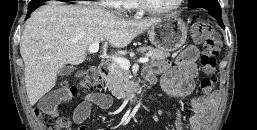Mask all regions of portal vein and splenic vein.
Returning a JSON list of instances; mask_svg holds the SVG:
<instances>
[{
  "label": "portal vein and splenic vein",
  "mask_w": 257,
  "mask_h": 130,
  "mask_svg": "<svg viewBox=\"0 0 257 130\" xmlns=\"http://www.w3.org/2000/svg\"><path fill=\"white\" fill-rule=\"evenodd\" d=\"M98 50H99V43H94L89 47L88 52L90 54H94V53L98 52ZM113 61L115 63L119 64L125 70H128L130 68V61L123 57H115V58H113ZM148 61H149L148 56L140 58L138 60L139 63H147Z\"/></svg>",
  "instance_id": "18ae733b"
}]
</instances>
